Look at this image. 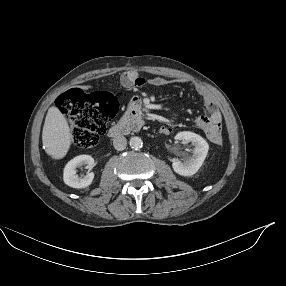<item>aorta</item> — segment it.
I'll use <instances>...</instances> for the list:
<instances>
[{
	"label": "aorta",
	"instance_id": "aorta-1",
	"mask_svg": "<svg viewBox=\"0 0 286 286\" xmlns=\"http://www.w3.org/2000/svg\"><path fill=\"white\" fill-rule=\"evenodd\" d=\"M129 144L132 149L138 150L142 148L143 141L140 137L134 136L130 139Z\"/></svg>",
	"mask_w": 286,
	"mask_h": 286
}]
</instances>
